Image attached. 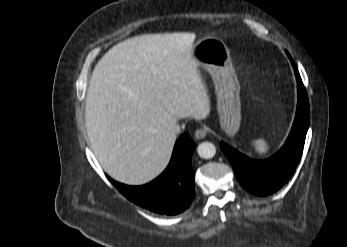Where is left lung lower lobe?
I'll return each instance as SVG.
<instances>
[{
	"instance_id": "0a47b994",
	"label": "left lung lower lobe",
	"mask_w": 347,
	"mask_h": 247,
	"mask_svg": "<svg viewBox=\"0 0 347 247\" xmlns=\"http://www.w3.org/2000/svg\"><path fill=\"white\" fill-rule=\"evenodd\" d=\"M287 55L296 75L298 105L293 127L283 147L272 157L257 161L246 157L224 142L220 143L241 186L258 196H267L276 192L291 178L302 156L309 127L306 90L293 59L289 53Z\"/></svg>"
}]
</instances>
